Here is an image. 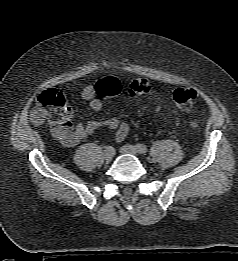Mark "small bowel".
<instances>
[{"instance_id":"obj_1","label":"small bowel","mask_w":238,"mask_h":261,"mask_svg":"<svg viewBox=\"0 0 238 261\" xmlns=\"http://www.w3.org/2000/svg\"><path fill=\"white\" fill-rule=\"evenodd\" d=\"M97 95L96 86L93 85H87L81 92L82 99L89 102L90 107L95 111H99L102 108V101ZM159 109L160 107L157 106L156 111H159ZM102 127H107L109 130L115 131L117 142L123 141L130 131V125L127 121L119 120L115 117L90 121L85 124L78 123L76 125L71 122L70 117L64 123L51 125V130L53 135L65 146L73 147Z\"/></svg>"}]
</instances>
